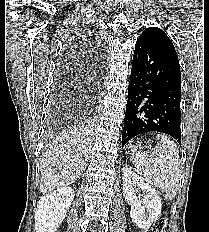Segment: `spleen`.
<instances>
[{
  "label": "spleen",
  "mask_w": 209,
  "mask_h": 232,
  "mask_svg": "<svg viewBox=\"0 0 209 232\" xmlns=\"http://www.w3.org/2000/svg\"><path fill=\"white\" fill-rule=\"evenodd\" d=\"M157 145L148 156L130 143L128 150L138 174L149 179L163 192L166 199H173L179 188L181 166L176 144L163 134H157Z\"/></svg>",
  "instance_id": "spleen-1"
}]
</instances>
